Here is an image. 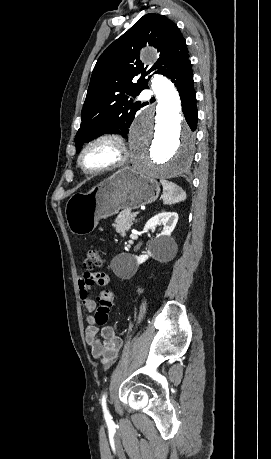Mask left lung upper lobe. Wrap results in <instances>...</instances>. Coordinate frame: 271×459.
I'll return each mask as SVG.
<instances>
[{"instance_id":"left-lung-upper-lobe-1","label":"left lung upper lobe","mask_w":271,"mask_h":459,"mask_svg":"<svg viewBox=\"0 0 271 459\" xmlns=\"http://www.w3.org/2000/svg\"><path fill=\"white\" fill-rule=\"evenodd\" d=\"M146 44L160 53L147 72L139 58ZM188 58L185 39L173 21L154 13L140 18L101 54L94 67L82 108V123L75 136L76 152L83 143L104 133L127 134L141 107L130 97L148 88L145 76L154 72L168 77Z\"/></svg>"}]
</instances>
